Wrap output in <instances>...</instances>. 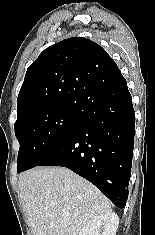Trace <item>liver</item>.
Returning a JSON list of instances; mask_svg holds the SVG:
<instances>
[{
    "label": "liver",
    "mask_w": 155,
    "mask_h": 235,
    "mask_svg": "<svg viewBox=\"0 0 155 235\" xmlns=\"http://www.w3.org/2000/svg\"><path fill=\"white\" fill-rule=\"evenodd\" d=\"M18 185L34 235H78L90 221L111 212L93 184L64 167L28 170Z\"/></svg>",
    "instance_id": "obj_1"
}]
</instances>
